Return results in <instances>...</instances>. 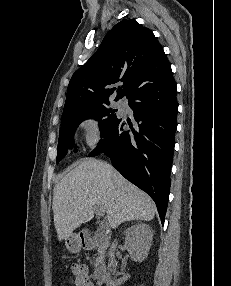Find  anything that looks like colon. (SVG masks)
I'll list each match as a JSON object with an SVG mask.
<instances>
[{
  "label": "colon",
  "mask_w": 231,
  "mask_h": 286,
  "mask_svg": "<svg viewBox=\"0 0 231 286\" xmlns=\"http://www.w3.org/2000/svg\"><path fill=\"white\" fill-rule=\"evenodd\" d=\"M58 286H69V285L65 284V283H62V284H59Z\"/></svg>",
  "instance_id": "5ec220e1"
}]
</instances>
